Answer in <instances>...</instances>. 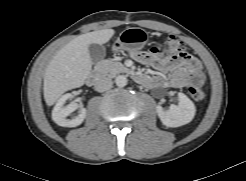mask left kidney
Segmentation results:
<instances>
[{
	"label": "left kidney",
	"mask_w": 246,
	"mask_h": 181,
	"mask_svg": "<svg viewBox=\"0 0 246 181\" xmlns=\"http://www.w3.org/2000/svg\"><path fill=\"white\" fill-rule=\"evenodd\" d=\"M178 105L171 104L168 109L156 107L161 122L167 127H180L192 121L196 113L194 103L184 94L178 93Z\"/></svg>",
	"instance_id": "left-kidney-1"
}]
</instances>
